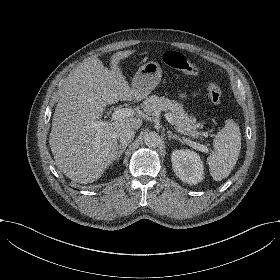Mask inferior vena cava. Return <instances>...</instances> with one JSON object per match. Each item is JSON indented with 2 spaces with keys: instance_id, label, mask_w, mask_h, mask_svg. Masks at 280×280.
<instances>
[{
  "instance_id": "602c4592",
  "label": "inferior vena cava",
  "mask_w": 280,
  "mask_h": 280,
  "mask_svg": "<svg viewBox=\"0 0 280 280\" xmlns=\"http://www.w3.org/2000/svg\"><path fill=\"white\" fill-rule=\"evenodd\" d=\"M135 136L134 129L123 128L117 132V139L121 144H129Z\"/></svg>"
}]
</instances>
